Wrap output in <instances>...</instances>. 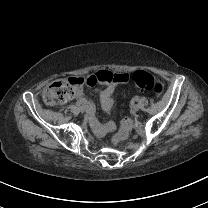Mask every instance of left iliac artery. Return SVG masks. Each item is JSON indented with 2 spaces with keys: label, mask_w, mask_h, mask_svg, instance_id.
<instances>
[{
  "label": "left iliac artery",
  "mask_w": 208,
  "mask_h": 208,
  "mask_svg": "<svg viewBox=\"0 0 208 208\" xmlns=\"http://www.w3.org/2000/svg\"><path fill=\"white\" fill-rule=\"evenodd\" d=\"M135 101H138V97H135V99H134Z\"/></svg>",
  "instance_id": "obj_1"
}]
</instances>
